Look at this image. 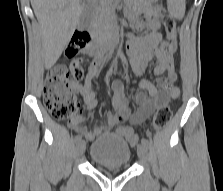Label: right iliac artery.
<instances>
[{"label":"right iliac artery","instance_id":"obj_1","mask_svg":"<svg viewBox=\"0 0 223 191\" xmlns=\"http://www.w3.org/2000/svg\"><path fill=\"white\" fill-rule=\"evenodd\" d=\"M80 139H81V136H80V135H76L75 138H74V141L77 142V141H79Z\"/></svg>","mask_w":223,"mask_h":191}]
</instances>
